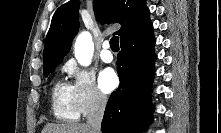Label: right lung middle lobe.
I'll return each instance as SVG.
<instances>
[{"label":"right lung middle lobe","mask_w":221,"mask_h":133,"mask_svg":"<svg viewBox=\"0 0 221 133\" xmlns=\"http://www.w3.org/2000/svg\"><path fill=\"white\" fill-rule=\"evenodd\" d=\"M59 63L48 64L43 67L44 69V76L47 77L54 71V67L57 66Z\"/></svg>","instance_id":"right-lung-middle-lobe-1"}]
</instances>
